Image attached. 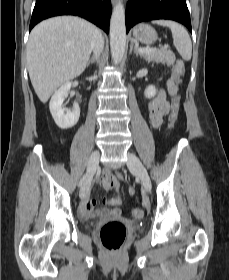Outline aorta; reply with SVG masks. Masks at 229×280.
Here are the masks:
<instances>
[{"label":"aorta","mask_w":229,"mask_h":280,"mask_svg":"<svg viewBox=\"0 0 229 280\" xmlns=\"http://www.w3.org/2000/svg\"><path fill=\"white\" fill-rule=\"evenodd\" d=\"M110 46L112 60L119 64L126 47L125 9L120 2L114 7L110 20Z\"/></svg>","instance_id":"762f6f07"}]
</instances>
